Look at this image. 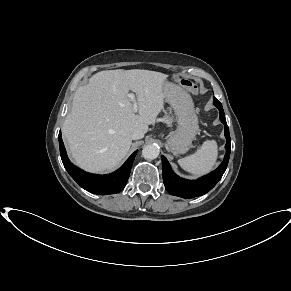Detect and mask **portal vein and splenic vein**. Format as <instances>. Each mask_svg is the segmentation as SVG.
<instances>
[{
    "mask_svg": "<svg viewBox=\"0 0 291 291\" xmlns=\"http://www.w3.org/2000/svg\"><path fill=\"white\" fill-rule=\"evenodd\" d=\"M128 96L133 101V112L136 113L137 110H138V105H137V102H136L135 95L133 93H130Z\"/></svg>",
    "mask_w": 291,
    "mask_h": 291,
    "instance_id": "1",
    "label": "portal vein and splenic vein"
}]
</instances>
